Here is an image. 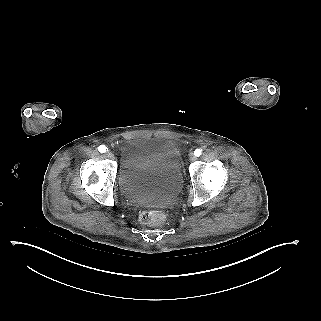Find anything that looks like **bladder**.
Listing matches in <instances>:
<instances>
[{
    "mask_svg": "<svg viewBox=\"0 0 321 321\" xmlns=\"http://www.w3.org/2000/svg\"><path fill=\"white\" fill-rule=\"evenodd\" d=\"M183 179L180 152L172 141L139 137L123 144L118 183L132 203L142 206L170 203L181 191Z\"/></svg>",
    "mask_w": 321,
    "mask_h": 321,
    "instance_id": "1",
    "label": "bladder"
}]
</instances>
